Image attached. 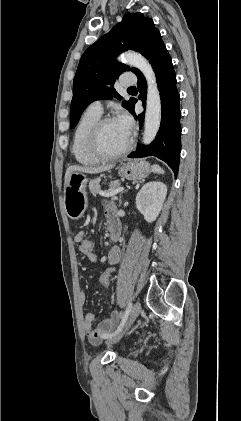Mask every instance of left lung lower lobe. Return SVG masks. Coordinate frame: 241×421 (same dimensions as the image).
Segmentation results:
<instances>
[{
    "label": "left lung lower lobe",
    "mask_w": 241,
    "mask_h": 421,
    "mask_svg": "<svg viewBox=\"0 0 241 421\" xmlns=\"http://www.w3.org/2000/svg\"><path fill=\"white\" fill-rule=\"evenodd\" d=\"M145 57L149 59L157 77L162 105L161 124L154 141L150 145L138 147L128 157L143 158L156 156L165 161L171 167L175 176H177L181 152L180 95L176 87L177 81L172 61L161 39L160 33L154 37ZM135 74L138 77V89L141 93L140 99H142L143 106H145L146 81L139 70ZM136 101L135 99L134 105ZM130 112L139 120L140 126H142L144 113L136 116L134 106Z\"/></svg>",
    "instance_id": "0a47b994"
}]
</instances>
